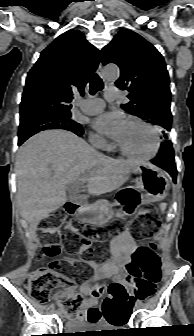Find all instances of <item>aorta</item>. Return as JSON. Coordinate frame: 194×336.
I'll return each mask as SVG.
<instances>
[{"instance_id": "aorta-1", "label": "aorta", "mask_w": 194, "mask_h": 336, "mask_svg": "<svg viewBox=\"0 0 194 336\" xmlns=\"http://www.w3.org/2000/svg\"><path fill=\"white\" fill-rule=\"evenodd\" d=\"M103 75L107 80H115L119 77V68L116 65H107L103 68Z\"/></svg>"}]
</instances>
